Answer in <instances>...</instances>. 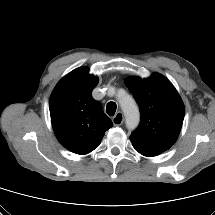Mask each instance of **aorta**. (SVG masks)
I'll list each match as a JSON object with an SVG mask.
<instances>
[{
  "mask_svg": "<svg viewBox=\"0 0 215 215\" xmlns=\"http://www.w3.org/2000/svg\"><path fill=\"white\" fill-rule=\"evenodd\" d=\"M119 104L125 115L126 126L129 129L137 127L140 121V113L134 99L130 95L125 94L119 99Z\"/></svg>",
  "mask_w": 215,
  "mask_h": 215,
  "instance_id": "762f6f07",
  "label": "aorta"
}]
</instances>
